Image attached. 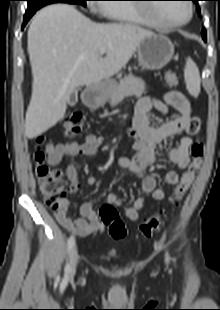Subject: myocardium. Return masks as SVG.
<instances>
[{"label": "myocardium", "instance_id": "f54148a6", "mask_svg": "<svg viewBox=\"0 0 220 310\" xmlns=\"http://www.w3.org/2000/svg\"><path fill=\"white\" fill-rule=\"evenodd\" d=\"M186 6L188 9V15L185 19H183L182 21H178V22H169V21H166L164 19H161L157 15H153L150 10L145 9V8H142L141 10H142V12L147 14L148 16L152 17L154 19V21L161 27L178 28V27H182L183 25L187 24L192 18L193 7L190 3H187Z\"/></svg>", "mask_w": 220, "mask_h": 310}]
</instances>
